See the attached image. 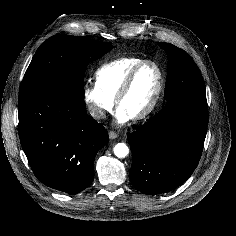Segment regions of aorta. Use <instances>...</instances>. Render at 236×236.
Instances as JSON below:
<instances>
[{
    "label": "aorta",
    "mask_w": 236,
    "mask_h": 236,
    "mask_svg": "<svg viewBox=\"0 0 236 236\" xmlns=\"http://www.w3.org/2000/svg\"><path fill=\"white\" fill-rule=\"evenodd\" d=\"M129 153V148L126 144L124 143H118L115 145L114 147V154L118 157V158H124L128 155Z\"/></svg>",
    "instance_id": "1"
}]
</instances>
